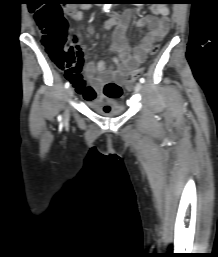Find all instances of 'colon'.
Listing matches in <instances>:
<instances>
[{"label":"colon","instance_id":"1","mask_svg":"<svg viewBox=\"0 0 218 257\" xmlns=\"http://www.w3.org/2000/svg\"><path fill=\"white\" fill-rule=\"evenodd\" d=\"M65 9V5H29V10H35L34 16L45 50L58 67L66 71L68 77L78 79L82 55L77 47V38H69L68 24L61 11ZM157 51L158 45L153 46L152 54ZM141 72V69H135L128 74L127 88L132 87ZM102 88V98H123V94H126V89L117 82L102 83Z\"/></svg>","mask_w":218,"mask_h":257}]
</instances>
